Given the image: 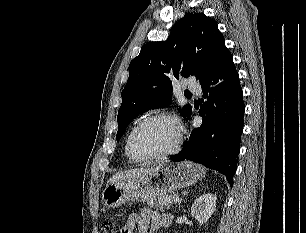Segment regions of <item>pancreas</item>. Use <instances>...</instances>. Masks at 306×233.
Masks as SVG:
<instances>
[{"label": "pancreas", "mask_w": 306, "mask_h": 233, "mask_svg": "<svg viewBox=\"0 0 306 233\" xmlns=\"http://www.w3.org/2000/svg\"><path fill=\"white\" fill-rule=\"evenodd\" d=\"M178 197V194L173 193L170 195L158 196L155 198L147 199L145 202L152 208H160L163 210L165 207L167 209L171 208L175 203V198Z\"/></svg>", "instance_id": "cf45deb5"}]
</instances>
